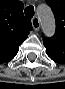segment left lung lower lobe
Segmentation results:
<instances>
[{
	"label": "left lung lower lobe",
	"mask_w": 65,
	"mask_h": 89,
	"mask_svg": "<svg viewBox=\"0 0 65 89\" xmlns=\"http://www.w3.org/2000/svg\"><path fill=\"white\" fill-rule=\"evenodd\" d=\"M43 44L47 55L55 62L65 64V44L45 38Z\"/></svg>",
	"instance_id": "0a47b994"
}]
</instances>
